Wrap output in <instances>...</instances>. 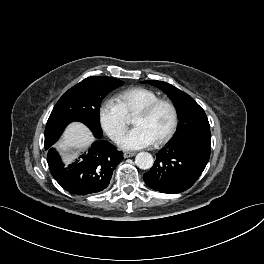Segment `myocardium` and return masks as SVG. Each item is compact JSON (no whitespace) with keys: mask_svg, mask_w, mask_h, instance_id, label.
I'll use <instances>...</instances> for the list:
<instances>
[{"mask_svg":"<svg viewBox=\"0 0 264 264\" xmlns=\"http://www.w3.org/2000/svg\"><path fill=\"white\" fill-rule=\"evenodd\" d=\"M161 105L167 106L168 109L170 110L171 121L167 132L162 137H160L155 141V143L158 145L168 142L176 132L178 125V111L175 104L169 99L158 98L147 104L145 107H143L135 114V116L148 117Z\"/></svg>","mask_w":264,"mask_h":264,"instance_id":"1","label":"myocardium"}]
</instances>
